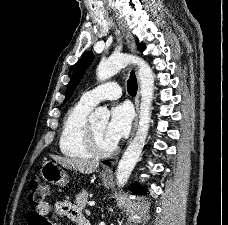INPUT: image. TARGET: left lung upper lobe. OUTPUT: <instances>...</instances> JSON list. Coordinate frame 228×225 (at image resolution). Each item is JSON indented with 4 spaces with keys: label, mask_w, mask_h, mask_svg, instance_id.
Instances as JSON below:
<instances>
[{
    "label": "left lung upper lobe",
    "mask_w": 228,
    "mask_h": 225,
    "mask_svg": "<svg viewBox=\"0 0 228 225\" xmlns=\"http://www.w3.org/2000/svg\"><path fill=\"white\" fill-rule=\"evenodd\" d=\"M137 47H138V49L141 50V52L145 49V45L143 43L137 42ZM93 58H94V55L92 52H86L82 56V58L79 60L77 65L75 66L71 80H70L68 87H67V92H66V97H65L64 102H66L70 98V96L72 95L77 84L79 83L83 74L85 73L86 68L88 66H90V64L92 63Z\"/></svg>",
    "instance_id": "1"
}]
</instances>
